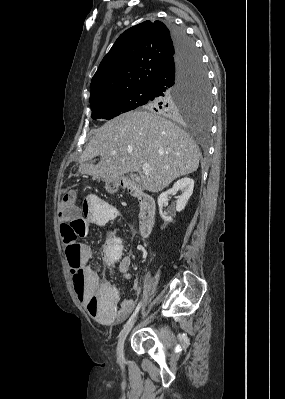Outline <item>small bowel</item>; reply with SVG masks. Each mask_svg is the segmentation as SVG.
Returning a JSON list of instances; mask_svg holds the SVG:
<instances>
[{
    "mask_svg": "<svg viewBox=\"0 0 285 399\" xmlns=\"http://www.w3.org/2000/svg\"><path fill=\"white\" fill-rule=\"evenodd\" d=\"M80 216L84 221V227L80 229V236L86 235L92 226H103L107 223L109 209L98 196H88L83 202ZM79 265L83 270V289L76 293V296L87 308L89 314L96 321L111 324L122 322L136 306L133 299L123 300L118 306L119 292L110 283H101L98 273L91 268L90 260L95 254V249L90 245L80 244ZM103 260L114 263L117 257L107 249L103 251ZM131 259L124 256L118 259V270L127 279H131L130 273ZM68 265H71L68 260ZM133 290L137 294L139 290L138 280L133 281ZM100 301L99 306H93L94 301Z\"/></svg>",
    "mask_w": 285,
    "mask_h": 399,
    "instance_id": "1",
    "label": "small bowel"
}]
</instances>
